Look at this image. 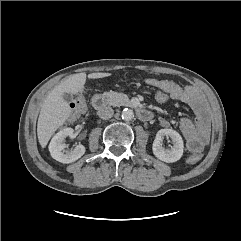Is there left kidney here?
<instances>
[{"label":"left kidney","instance_id":"5707ae66","mask_svg":"<svg viewBox=\"0 0 241 241\" xmlns=\"http://www.w3.org/2000/svg\"><path fill=\"white\" fill-rule=\"evenodd\" d=\"M170 137L173 146L171 149H164L162 147V140L164 137ZM183 139L178 132L173 129H161L157 132L156 138L153 142V154L160 160L166 163L178 161L183 155Z\"/></svg>","mask_w":241,"mask_h":241}]
</instances>
